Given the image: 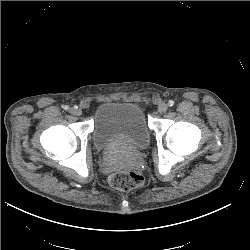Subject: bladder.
Listing matches in <instances>:
<instances>
[{"mask_svg":"<svg viewBox=\"0 0 250 250\" xmlns=\"http://www.w3.org/2000/svg\"><path fill=\"white\" fill-rule=\"evenodd\" d=\"M150 140V129L138 105L109 101L94 110L92 142L96 150H142Z\"/></svg>","mask_w":250,"mask_h":250,"instance_id":"1","label":"bladder"}]
</instances>
